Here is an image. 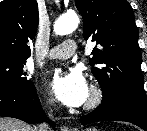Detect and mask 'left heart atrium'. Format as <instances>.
<instances>
[{"label":"left heart atrium","instance_id":"39dd6f15","mask_svg":"<svg viewBox=\"0 0 147 131\" xmlns=\"http://www.w3.org/2000/svg\"><path fill=\"white\" fill-rule=\"evenodd\" d=\"M49 85L56 98L67 106H81L89 97L88 82L78 69L55 72Z\"/></svg>","mask_w":147,"mask_h":131}]
</instances>
